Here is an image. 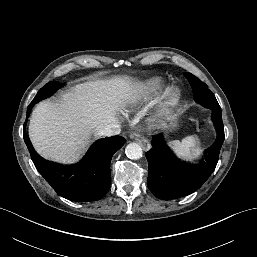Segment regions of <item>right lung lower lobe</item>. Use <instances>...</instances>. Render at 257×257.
I'll return each instance as SVG.
<instances>
[{
	"label": "right lung lower lobe",
	"mask_w": 257,
	"mask_h": 257,
	"mask_svg": "<svg viewBox=\"0 0 257 257\" xmlns=\"http://www.w3.org/2000/svg\"><path fill=\"white\" fill-rule=\"evenodd\" d=\"M32 105L28 106L27 113ZM24 124V140L25 137ZM125 143L121 136L95 141L80 161L62 165L47 161L32 153V161L38 172L62 197L76 201H96L105 196L111 186L110 162L114 153Z\"/></svg>",
	"instance_id": "right-lung-lower-lobe-1"
}]
</instances>
